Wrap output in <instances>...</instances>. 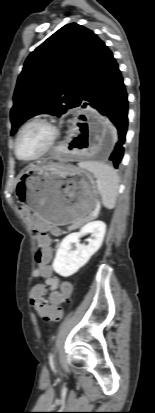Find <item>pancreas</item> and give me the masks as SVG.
I'll use <instances>...</instances> for the list:
<instances>
[{
	"mask_svg": "<svg viewBox=\"0 0 155 413\" xmlns=\"http://www.w3.org/2000/svg\"><path fill=\"white\" fill-rule=\"evenodd\" d=\"M92 218H93V216H90L87 220H90V219H92ZM84 222H85V221L75 222V223L71 224L70 226H68L67 229H68L69 231H70V230H75V229L79 228Z\"/></svg>",
	"mask_w": 155,
	"mask_h": 413,
	"instance_id": "1",
	"label": "pancreas"
}]
</instances>
